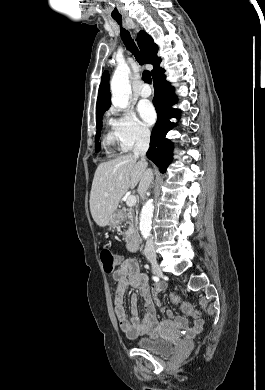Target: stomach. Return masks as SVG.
<instances>
[{"mask_svg": "<svg viewBox=\"0 0 265 390\" xmlns=\"http://www.w3.org/2000/svg\"><path fill=\"white\" fill-rule=\"evenodd\" d=\"M119 223H120V217L118 216L117 213H114L110 218L109 227L115 228L119 225Z\"/></svg>", "mask_w": 265, "mask_h": 390, "instance_id": "0dacf381", "label": "stomach"}]
</instances>
